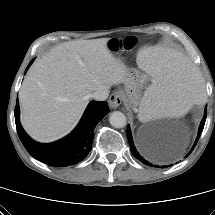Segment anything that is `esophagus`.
Masks as SVG:
<instances>
[{
	"label": "esophagus",
	"mask_w": 215,
	"mask_h": 215,
	"mask_svg": "<svg viewBox=\"0 0 215 215\" xmlns=\"http://www.w3.org/2000/svg\"><path fill=\"white\" fill-rule=\"evenodd\" d=\"M122 101H123V96L121 92L115 91L110 95L108 102L111 108L116 109L121 105Z\"/></svg>",
	"instance_id": "34e87169"
}]
</instances>
